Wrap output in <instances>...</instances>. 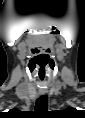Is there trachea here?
Here are the masks:
<instances>
[{"mask_svg": "<svg viewBox=\"0 0 85 118\" xmlns=\"http://www.w3.org/2000/svg\"><path fill=\"white\" fill-rule=\"evenodd\" d=\"M48 105L47 95H41L36 101V110H46Z\"/></svg>", "mask_w": 85, "mask_h": 118, "instance_id": "obj_1", "label": "trachea"}]
</instances>
